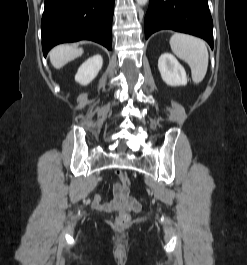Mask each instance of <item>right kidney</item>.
Instances as JSON below:
<instances>
[{"label": "right kidney", "instance_id": "obj_1", "mask_svg": "<svg viewBox=\"0 0 247 265\" xmlns=\"http://www.w3.org/2000/svg\"><path fill=\"white\" fill-rule=\"evenodd\" d=\"M103 65L101 55H95L86 60L78 69L75 81L81 85L89 84L99 73Z\"/></svg>", "mask_w": 247, "mask_h": 265}]
</instances>
